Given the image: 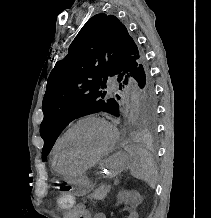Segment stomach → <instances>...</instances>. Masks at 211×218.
Here are the masks:
<instances>
[{
    "label": "stomach",
    "mask_w": 211,
    "mask_h": 218,
    "mask_svg": "<svg viewBox=\"0 0 211 218\" xmlns=\"http://www.w3.org/2000/svg\"><path fill=\"white\" fill-rule=\"evenodd\" d=\"M128 165V155L124 152H118L105 161L101 174L105 178H113L126 169ZM67 183L71 185L72 193L77 196H84L93 188V184L84 176L69 178Z\"/></svg>",
    "instance_id": "0dacf381"
}]
</instances>
